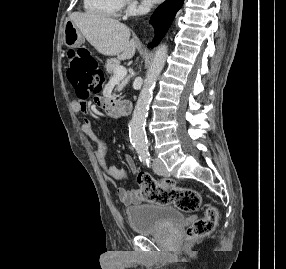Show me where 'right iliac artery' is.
I'll return each mask as SVG.
<instances>
[{
  "instance_id": "right-iliac-artery-1",
  "label": "right iliac artery",
  "mask_w": 286,
  "mask_h": 269,
  "mask_svg": "<svg viewBox=\"0 0 286 269\" xmlns=\"http://www.w3.org/2000/svg\"><path fill=\"white\" fill-rule=\"evenodd\" d=\"M147 163V165H148V167H149V162H146Z\"/></svg>"
}]
</instances>
